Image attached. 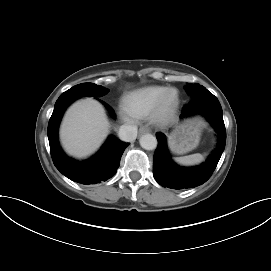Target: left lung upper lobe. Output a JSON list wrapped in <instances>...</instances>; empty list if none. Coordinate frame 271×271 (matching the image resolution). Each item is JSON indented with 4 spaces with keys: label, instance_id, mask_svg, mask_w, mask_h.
<instances>
[{
    "label": "left lung upper lobe",
    "instance_id": "obj_1",
    "mask_svg": "<svg viewBox=\"0 0 271 271\" xmlns=\"http://www.w3.org/2000/svg\"><path fill=\"white\" fill-rule=\"evenodd\" d=\"M187 92L191 95L192 99L197 98L201 95L210 94V92L204 86H201L199 84H193L192 86H188Z\"/></svg>",
    "mask_w": 271,
    "mask_h": 271
}]
</instances>
